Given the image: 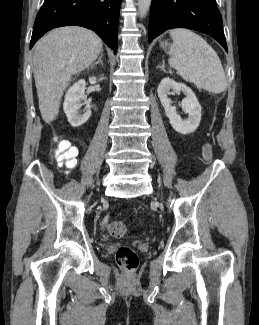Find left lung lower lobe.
<instances>
[{
	"mask_svg": "<svg viewBox=\"0 0 259 325\" xmlns=\"http://www.w3.org/2000/svg\"><path fill=\"white\" fill-rule=\"evenodd\" d=\"M172 28H188L206 33L227 51L222 16L216 0H152L149 42Z\"/></svg>",
	"mask_w": 259,
	"mask_h": 325,
	"instance_id": "obj_1",
	"label": "left lung lower lobe"
}]
</instances>
